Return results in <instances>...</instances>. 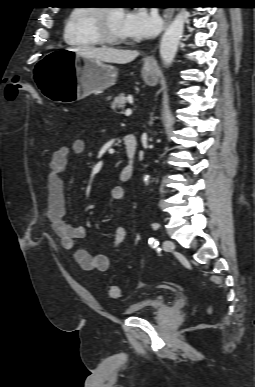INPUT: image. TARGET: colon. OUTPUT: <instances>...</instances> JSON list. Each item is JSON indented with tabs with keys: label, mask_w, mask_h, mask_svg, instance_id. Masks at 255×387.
<instances>
[{
	"label": "colon",
	"mask_w": 255,
	"mask_h": 387,
	"mask_svg": "<svg viewBox=\"0 0 255 387\" xmlns=\"http://www.w3.org/2000/svg\"><path fill=\"white\" fill-rule=\"evenodd\" d=\"M22 91L28 92V94L34 100L38 101V95L36 91L33 88H31L29 85L17 79H12L8 81L4 91L5 98L7 101L13 102L17 99V97ZM107 291H108V295L113 299H118L122 295L121 288L117 285L108 286Z\"/></svg>",
	"instance_id": "1"
}]
</instances>
